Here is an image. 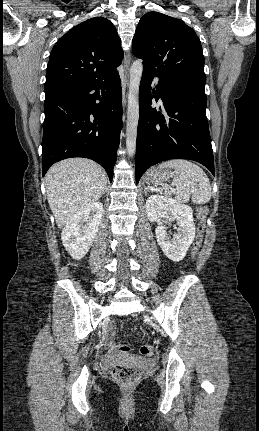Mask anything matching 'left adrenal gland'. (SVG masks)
Returning <instances> with one entry per match:
<instances>
[{
	"instance_id": "1",
	"label": "left adrenal gland",
	"mask_w": 259,
	"mask_h": 431,
	"mask_svg": "<svg viewBox=\"0 0 259 431\" xmlns=\"http://www.w3.org/2000/svg\"><path fill=\"white\" fill-rule=\"evenodd\" d=\"M143 186H144V194L146 195L147 192L149 191V189L145 185H143Z\"/></svg>"
}]
</instances>
